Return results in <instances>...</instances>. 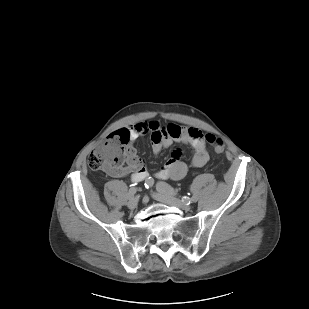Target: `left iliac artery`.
<instances>
[{
    "label": "left iliac artery",
    "instance_id": "obj_1",
    "mask_svg": "<svg viewBox=\"0 0 309 309\" xmlns=\"http://www.w3.org/2000/svg\"><path fill=\"white\" fill-rule=\"evenodd\" d=\"M156 188H157L158 191H162V192L170 194V195H175L174 189L170 185H168L167 183L158 182L157 185H156ZM182 201L187 203V204H190V202H196L197 198L195 196H192L191 198L184 196L182 198Z\"/></svg>",
    "mask_w": 309,
    "mask_h": 309
}]
</instances>
